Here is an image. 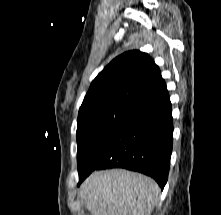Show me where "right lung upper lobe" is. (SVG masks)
<instances>
[{
  "instance_id": "right-lung-upper-lobe-1",
  "label": "right lung upper lobe",
  "mask_w": 221,
  "mask_h": 215,
  "mask_svg": "<svg viewBox=\"0 0 221 215\" xmlns=\"http://www.w3.org/2000/svg\"><path fill=\"white\" fill-rule=\"evenodd\" d=\"M166 90L154 60L146 53L128 51L112 60L97 75L82 105L116 101L136 107Z\"/></svg>"
}]
</instances>
